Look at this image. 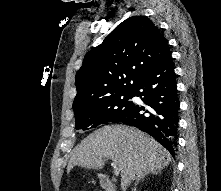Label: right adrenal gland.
<instances>
[{
  "instance_id": "right-adrenal-gland-1",
  "label": "right adrenal gland",
  "mask_w": 221,
  "mask_h": 191,
  "mask_svg": "<svg viewBox=\"0 0 221 191\" xmlns=\"http://www.w3.org/2000/svg\"><path fill=\"white\" fill-rule=\"evenodd\" d=\"M151 174L157 175L158 172H152ZM146 175H147V174H146ZM146 175H143L142 177H140V178H138V179L136 180V182L134 183V189H133V191H136V186L138 185V183L140 182V180H143V179L146 177Z\"/></svg>"
}]
</instances>
